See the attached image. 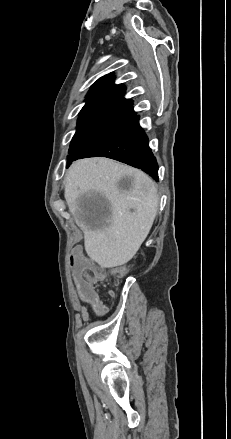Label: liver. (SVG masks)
<instances>
[{
	"mask_svg": "<svg viewBox=\"0 0 231 439\" xmlns=\"http://www.w3.org/2000/svg\"><path fill=\"white\" fill-rule=\"evenodd\" d=\"M128 176L132 188L122 192L119 180ZM65 200L84 233L91 260L103 268L130 261L146 239L156 217L159 197L155 182L143 171L99 157L74 162L66 173ZM93 193L108 202L101 216L85 217L81 197Z\"/></svg>",
	"mask_w": 231,
	"mask_h": 439,
	"instance_id": "1",
	"label": "liver"
}]
</instances>
